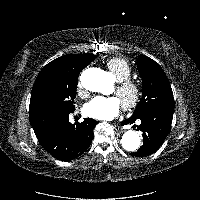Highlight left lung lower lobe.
I'll return each instance as SVG.
<instances>
[{
	"mask_svg": "<svg viewBox=\"0 0 200 200\" xmlns=\"http://www.w3.org/2000/svg\"><path fill=\"white\" fill-rule=\"evenodd\" d=\"M173 115L162 114L156 110H148L136 118H129L124 124H133L137 119L141 120L138 127L143 132V145L137 152L130 155L143 157L156 152L171 130Z\"/></svg>",
	"mask_w": 200,
	"mask_h": 200,
	"instance_id": "left-lung-lower-lobe-1",
	"label": "left lung lower lobe"
}]
</instances>
